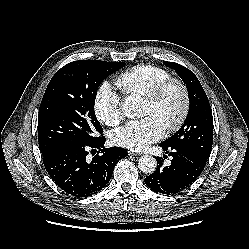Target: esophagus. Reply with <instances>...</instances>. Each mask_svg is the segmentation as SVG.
<instances>
[{"label":"esophagus","instance_id":"esophagus-1","mask_svg":"<svg viewBox=\"0 0 249 249\" xmlns=\"http://www.w3.org/2000/svg\"><path fill=\"white\" fill-rule=\"evenodd\" d=\"M128 154H129L130 156H140V155H141L140 153L134 152V151H131V150L128 151Z\"/></svg>","mask_w":249,"mask_h":249}]
</instances>
